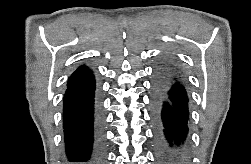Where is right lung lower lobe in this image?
<instances>
[{
    "label": "right lung lower lobe",
    "instance_id": "obj_1",
    "mask_svg": "<svg viewBox=\"0 0 251 164\" xmlns=\"http://www.w3.org/2000/svg\"><path fill=\"white\" fill-rule=\"evenodd\" d=\"M63 127L68 161H103L102 120L95 105V79L86 66H80L68 80Z\"/></svg>",
    "mask_w": 251,
    "mask_h": 164
}]
</instances>
